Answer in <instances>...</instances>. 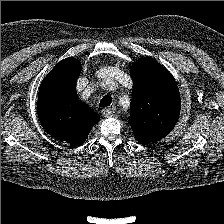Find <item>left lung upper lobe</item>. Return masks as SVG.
<instances>
[{"instance_id":"5c2ea615","label":"left lung upper lobe","mask_w":224,"mask_h":224,"mask_svg":"<svg viewBox=\"0 0 224 224\" xmlns=\"http://www.w3.org/2000/svg\"><path fill=\"white\" fill-rule=\"evenodd\" d=\"M130 126L134 134L155 142L168 135L180 114V93L171 73L152 58L134 62Z\"/></svg>"}]
</instances>
